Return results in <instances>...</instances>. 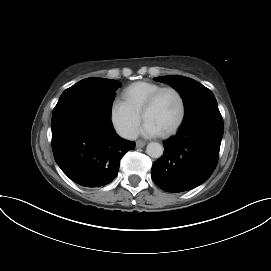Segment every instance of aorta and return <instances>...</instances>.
Masks as SVG:
<instances>
[{"label": "aorta", "mask_w": 271, "mask_h": 271, "mask_svg": "<svg viewBox=\"0 0 271 271\" xmlns=\"http://www.w3.org/2000/svg\"><path fill=\"white\" fill-rule=\"evenodd\" d=\"M163 147L158 142H150L147 145L146 153L152 158H160L163 155Z\"/></svg>", "instance_id": "obj_1"}]
</instances>
